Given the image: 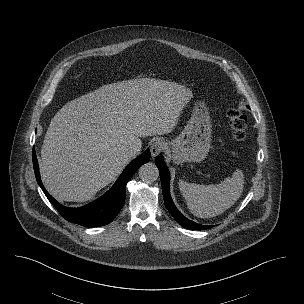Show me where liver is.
<instances>
[{
	"instance_id": "obj_1",
	"label": "liver",
	"mask_w": 304,
	"mask_h": 304,
	"mask_svg": "<svg viewBox=\"0 0 304 304\" xmlns=\"http://www.w3.org/2000/svg\"><path fill=\"white\" fill-rule=\"evenodd\" d=\"M193 94L175 82L138 78L104 85L66 103L52 118L41 149L47 191L83 202L128 164L139 137L170 133Z\"/></svg>"
}]
</instances>
